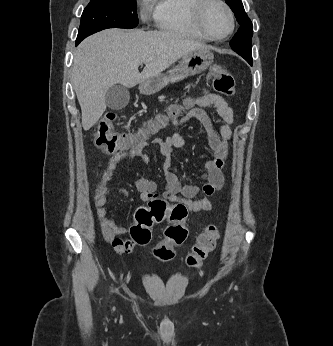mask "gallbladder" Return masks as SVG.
<instances>
[{
	"label": "gallbladder",
	"instance_id": "gallbladder-1",
	"mask_svg": "<svg viewBox=\"0 0 333 346\" xmlns=\"http://www.w3.org/2000/svg\"><path fill=\"white\" fill-rule=\"evenodd\" d=\"M129 99L130 94L128 89L121 84L111 86L105 95L106 105L112 110H121L125 108Z\"/></svg>",
	"mask_w": 333,
	"mask_h": 346
}]
</instances>
